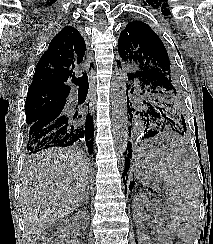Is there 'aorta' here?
<instances>
[{"mask_svg": "<svg viewBox=\"0 0 213 244\" xmlns=\"http://www.w3.org/2000/svg\"><path fill=\"white\" fill-rule=\"evenodd\" d=\"M126 75L118 71L112 81V126L117 157L121 163L128 143Z\"/></svg>", "mask_w": 213, "mask_h": 244, "instance_id": "obj_1", "label": "aorta"}]
</instances>
